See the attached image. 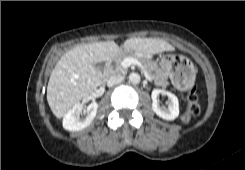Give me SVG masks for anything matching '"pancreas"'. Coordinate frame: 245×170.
<instances>
[{"instance_id": "cf45deb5", "label": "pancreas", "mask_w": 245, "mask_h": 170, "mask_svg": "<svg viewBox=\"0 0 245 170\" xmlns=\"http://www.w3.org/2000/svg\"><path fill=\"white\" fill-rule=\"evenodd\" d=\"M126 57H132L134 59H137L139 62L142 63L146 71L148 72L149 76L154 80L155 84L161 87H166L169 85L168 76L166 72L161 69L158 64L154 61H152L149 58H146L145 56L135 53V52H122L116 59V69L115 72L119 74H124L126 72L125 68L121 67V62Z\"/></svg>"}]
</instances>
